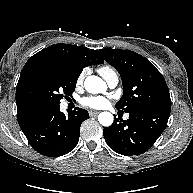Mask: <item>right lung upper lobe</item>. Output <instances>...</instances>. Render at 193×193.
<instances>
[{"label": "right lung upper lobe", "mask_w": 193, "mask_h": 193, "mask_svg": "<svg viewBox=\"0 0 193 193\" xmlns=\"http://www.w3.org/2000/svg\"><path fill=\"white\" fill-rule=\"evenodd\" d=\"M102 63H104V60L95 50L69 44H54L33 55L23 67L16 87L17 120L19 125L41 112L29 106L20 94L21 83L31 68L41 64H54L82 72L86 66Z\"/></svg>", "instance_id": "1"}]
</instances>
